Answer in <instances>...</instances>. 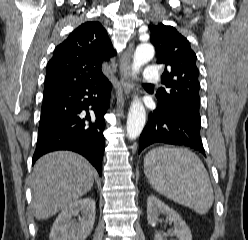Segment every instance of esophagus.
I'll list each match as a JSON object with an SVG mask.
<instances>
[{"label": "esophagus", "instance_id": "34e87169", "mask_svg": "<svg viewBox=\"0 0 248 240\" xmlns=\"http://www.w3.org/2000/svg\"><path fill=\"white\" fill-rule=\"evenodd\" d=\"M134 51V43H129L127 49L123 52L120 61V74H121V86L124 93L128 96L132 90V84L130 80V65Z\"/></svg>", "mask_w": 248, "mask_h": 240}]
</instances>
